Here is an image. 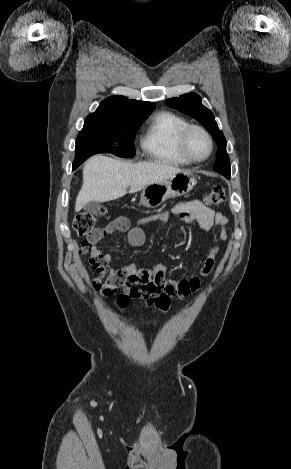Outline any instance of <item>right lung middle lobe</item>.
I'll use <instances>...</instances> for the list:
<instances>
[{"mask_svg":"<svg viewBox=\"0 0 291 469\" xmlns=\"http://www.w3.org/2000/svg\"><path fill=\"white\" fill-rule=\"evenodd\" d=\"M145 118L107 119L87 117L80 131L75 148L72 169L96 153H112L119 157H134L133 139Z\"/></svg>","mask_w":291,"mask_h":469,"instance_id":"obj_1","label":"right lung middle lobe"}]
</instances>
